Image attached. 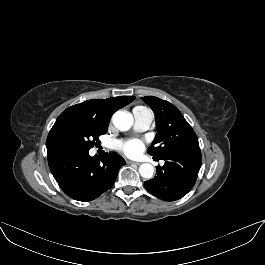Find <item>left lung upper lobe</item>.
<instances>
[{"instance_id":"obj_1","label":"left lung upper lobe","mask_w":265,"mask_h":265,"mask_svg":"<svg viewBox=\"0 0 265 265\" xmlns=\"http://www.w3.org/2000/svg\"><path fill=\"white\" fill-rule=\"evenodd\" d=\"M141 99L155 114L157 134L148 148L151 156L162 158L170 152L200 149L196 133L173 104L154 96Z\"/></svg>"}]
</instances>
